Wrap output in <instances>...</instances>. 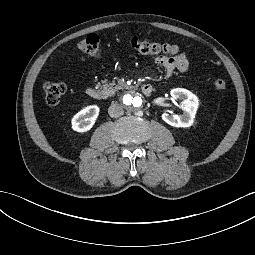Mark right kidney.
Instances as JSON below:
<instances>
[{
	"instance_id": "ca27d5eb",
	"label": "right kidney",
	"mask_w": 255,
	"mask_h": 255,
	"mask_svg": "<svg viewBox=\"0 0 255 255\" xmlns=\"http://www.w3.org/2000/svg\"><path fill=\"white\" fill-rule=\"evenodd\" d=\"M100 109L97 105L87 106L80 110L71 120V128L76 132H87L92 129L98 116Z\"/></svg>"
}]
</instances>
